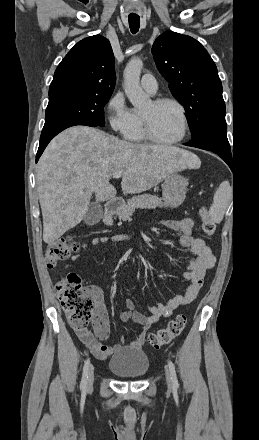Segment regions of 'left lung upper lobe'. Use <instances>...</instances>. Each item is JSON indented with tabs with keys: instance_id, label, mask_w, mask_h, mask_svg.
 Segmentation results:
<instances>
[{
	"instance_id": "left-lung-upper-lobe-1",
	"label": "left lung upper lobe",
	"mask_w": 259,
	"mask_h": 440,
	"mask_svg": "<svg viewBox=\"0 0 259 440\" xmlns=\"http://www.w3.org/2000/svg\"><path fill=\"white\" fill-rule=\"evenodd\" d=\"M152 54L172 95L187 112L191 140L211 130L227 131L221 80L206 49L192 37L169 31L155 40Z\"/></svg>"
}]
</instances>
